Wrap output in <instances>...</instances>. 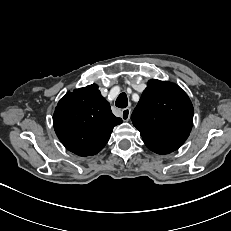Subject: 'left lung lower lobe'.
I'll use <instances>...</instances> for the list:
<instances>
[{
    "mask_svg": "<svg viewBox=\"0 0 231 231\" xmlns=\"http://www.w3.org/2000/svg\"><path fill=\"white\" fill-rule=\"evenodd\" d=\"M152 151L155 152V153H158V154H165V153L158 152L156 150H152Z\"/></svg>",
    "mask_w": 231,
    "mask_h": 231,
    "instance_id": "0a47b994",
    "label": "left lung lower lobe"
}]
</instances>
